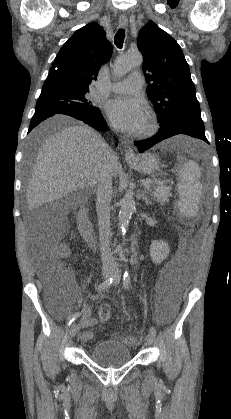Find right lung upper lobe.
I'll return each mask as SVG.
<instances>
[{"mask_svg":"<svg viewBox=\"0 0 231 419\" xmlns=\"http://www.w3.org/2000/svg\"><path fill=\"white\" fill-rule=\"evenodd\" d=\"M112 54V45L97 23L78 29L58 52L43 86L65 85L89 89L98 70Z\"/></svg>","mask_w":231,"mask_h":419,"instance_id":"cb5924a9","label":"right lung upper lobe"}]
</instances>
